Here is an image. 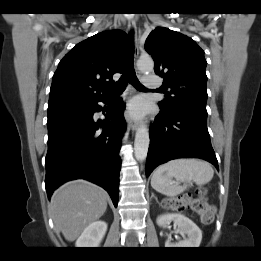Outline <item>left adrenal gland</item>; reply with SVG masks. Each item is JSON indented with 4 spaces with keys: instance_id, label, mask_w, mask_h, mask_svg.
Returning <instances> with one entry per match:
<instances>
[{
    "instance_id": "obj_1",
    "label": "left adrenal gland",
    "mask_w": 261,
    "mask_h": 261,
    "mask_svg": "<svg viewBox=\"0 0 261 261\" xmlns=\"http://www.w3.org/2000/svg\"><path fill=\"white\" fill-rule=\"evenodd\" d=\"M152 197L155 198V200H156V202H157L158 204H160L159 201H158V198L154 195L153 192H151V198H152ZM160 205H161V204H160Z\"/></svg>"
}]
</instances>
